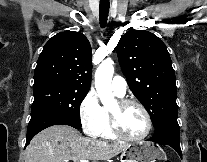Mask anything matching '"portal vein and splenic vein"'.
Segmentation results:
<instances>
[{"instance_id": "obj_1", "label": "portal vein and splenic vein", "mask_w": 207, "mask_h": 162, "mask_svg": "<svg viewBox=\"0 0 207 162\" xmlns=\"http://www.w3.org/2000/svg\"><path fill=\"white\" fill-rule=\"evenodd\" d=\"M64 162H68V160H64ZM78 162H89L88 160H80Z\"/></svg>"}]
</instances>
